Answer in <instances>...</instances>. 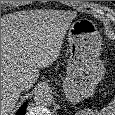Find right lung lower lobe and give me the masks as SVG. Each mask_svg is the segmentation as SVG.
Returning a JSON list of instances; mask_svg holds the SVG:
<instances>
[{
  "label": "right lung lower lobe",
  "instance_id": "obj_1",
  "mask_svg": "<svg viewBox=\"0 0 115 115\" xmlns=\"http://www.w3.org/2000/svg\"><path fill=\"white\" fill-rule=\"evenodd\" d=\"M26 107H27V102H25L24 105H22V107L18 110V112L16 113V115H24Z\"/></svg>",
  "mask_w": 115,
  "mask_h": 115
}]
</instances>
